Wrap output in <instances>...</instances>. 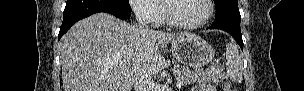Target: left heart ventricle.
I'll list each match as a JSON object with an SVG mask.
<instances>
[{
  "instance_id": "obj_1",
  "label": "left heart ventricle",
  "mask_w": 304,
  "mask_h": 91,
  "mask_svg": "<svg viewBox=\"0 0 304 91\" xmlns=\"http://www.w3.org/2000/svg\"><path fill=\"white\" fill-rule=\"evenodd\" d=\"M170 8L173 18L186 24L197 23L207 14L204 0H178L172 2Z\"/></svg>"
}]
</instances>
